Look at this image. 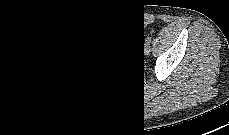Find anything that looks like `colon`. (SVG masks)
Instances as JSON below:
<instances>
[{
    "label": "colon",
    "instance_id": "obj_1",
    "mask_svg": "<svg viewBox=\"0 0 229 135\" xmlns=\"http://www.w3.org/2000/svg\"><path fill=\"white\" fill-rule=\"evenodd\" d=\"M144 24V20L143 19H139L136 23L134 24H130L129 26H127L126 30L130 33V34H139L140 32V28L141 26ZM116 32H118L119 30L116 29ZM112 56H116L117 52L116 50H113L111 52ZM89 63H90V70L93 74H99L101 71V63L98 60V56L96 54V50H94L93 47L90 48L89 50Z\"/></svg>",
    "mask_w": 229,
    "mask_h": 135
}]
</instances>
